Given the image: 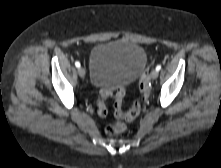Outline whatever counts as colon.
<instances>
[{
  "mask_svg": "<svg viewBox=\"0 0 221 168\" xmlns=\"http://www.w3.org/2000/svg\"><path fill=\"white\" fill-rule=\"evenodd\" d=\"M139 89L141 92V96L144 99L149 91H150V85L148 80L147 73H144L141 76L140 82H139ZM108 96H112L115 99V116L118 119L124 120V121H132L136 119L142 109L141 102H135L127 111L123 110V102L125 97V89L122 86H112L107 90H104L101 94V97L96 102V110L97 113L100 116H105L107 114V107L105 104V99ZM124 130V124L121 122L115 123V124H109L106 126L105 131L108 135L114 136L119 133H121Z\"/></svg>",
  "mask_w": 221,
  "mask_h": 168,
  "instance_id": "colon-1",
  "label": "colon"
}]
</instances>
